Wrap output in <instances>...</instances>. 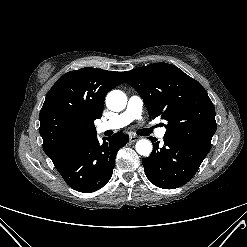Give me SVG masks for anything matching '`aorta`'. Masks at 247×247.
Here are the masks:
<instances>
[{"label": "aorta", "instance_id": "aorta-1", "mask_svg": "<svg viewBox=\"0 0 247 247\" xmlns=\"http://www.w3.org/2000/svg\"><path fill=\"white\" fill-rule=\"evenodd\" d=\"M127 104V96L120 90H112L106 96L107 107L115 112L122 111ZM138 154L149 156L152 152V143L148 139H141L135 145Z\"/></svg>", "mask_w": 247, "mask_h": 247}]
</instances>
